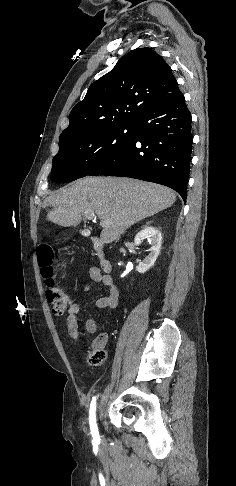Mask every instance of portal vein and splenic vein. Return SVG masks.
Masks as SVG:
<instances>
[{
  "label": "portal vein and splenic vein",
  "instance_id": "obj_1",
  "mask_svg": "<svg viewBox=\"0 0 236 486\" xmlns=\"http://www.w3.org/2000/svg\"><path fill=\"white\" fill-rule=\"evenodd\" d=\"M84 215H85V217L87 219H93V218H95V213L93 211L87 210V211L84 212ZM104 224L105 223H102V222L100 223L101 226H104Z\"/></svg>",
  "mask_w": 236,
  "mask_h": 486
}]
</instances>
